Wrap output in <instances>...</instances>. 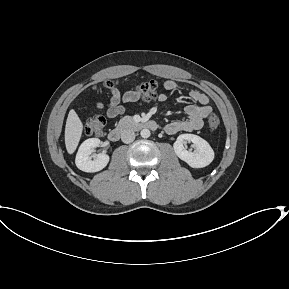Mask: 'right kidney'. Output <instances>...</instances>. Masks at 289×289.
<instances>
[{"instance_id": "right-kidney-1", "label": "right kidney", "mask_w": 289, "mask_h": 289, "mask_svg": "<svg viewBox=\"0 0 289 289\" xmlns=\"http://www.w3.org/2000/svg\"><path fill=\"white\" fill-rule=\"evenodd\" d=\"M98 138L85 140L78 149L75 163L76 166L84 172H97L102 170L109 162V156L106 153L93 154L94 148L99 147Z\"/></svg>"}]
</instances>
